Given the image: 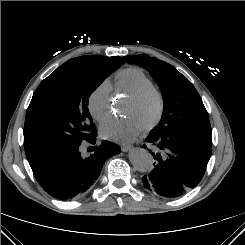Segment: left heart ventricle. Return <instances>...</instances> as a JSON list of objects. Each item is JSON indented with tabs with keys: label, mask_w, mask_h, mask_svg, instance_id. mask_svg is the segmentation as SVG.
Wrapping results in <instances>:
<instances>
[{
	"label": "left heart ventricle",
	"mask_w": 245,
	"mask_h": 245,
	"mask_svg": "<svg viewBox=\"0 0 245 245\" xmlns=\"http://www.w3.org/2000/svg\"><path fill=\"white\" fill-rule=\"evenodd\" d=\"M158 105L157 96L148 92L140 100L124 104L123 113L135 126L143 130L156 117Z\"/></svg>",
	"instance_id": "left-heart-ventricle-1"
}]
</instances>
